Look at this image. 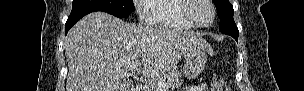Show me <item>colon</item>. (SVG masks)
Instances as JSON below:
<instances>
[{
	"instance_id": "colon-1",
	"label": "colon",
	"mask_w": 304,
	"mask_h": 91,
	"mask_svg": "<svg viewBox=\"0 0 304 91\" xmlns=\"http://www.w3.org/2000/svg\"><path fill=\"white\" fill-rule=\"evenodd\" d=\"M230 87L228 83L221 77L216 76L212 81V91H229Z\"/></svg>"
}]
</instances>
